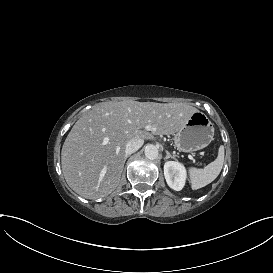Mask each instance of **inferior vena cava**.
<instances>
[{
    "label": "inferior vena cava",
    "mask_w": 273,
    "mask_h": 273,
    "mask_svg": "<svg viewBox=\"0 0 273 273\" xmlns=\"http://www.w3.org/2000/svg\"><path fill=\"white\" fill-rule=\"evenodd\" d=\"M143 139L141 138H132L128 141V143L126 144V148H125V153L126 154H132L134 152H136L143 144Z\"/></svg>",
    "instance_id": "602c4592"
}]
</instances>
